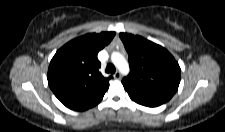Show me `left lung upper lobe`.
I'll return each mask as SVG.
<instances>
[{"mask_svg": "<svg viewBox=\"0 0 225 132\" xmlns=\"http://www.w3.org/2000/svg\"><path fill=\"white\" fill-rule=\"evenodd\" d=\"M128 52L130 73L122 84L137 103L160 105L176 93L181 69L174 57L162 46L141 36L120 33Z\"/></svg>", "mask_w": 225, "mask_h": 132, "instance_id": "5c2ea615", "label": "left lung upper lobe"}]
</instances>
